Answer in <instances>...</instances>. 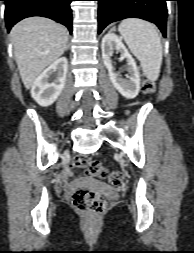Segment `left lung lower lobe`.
<instances>
[{"label":"left lung lower lobe","mask_w":194,"mask_h":253,"mask_svg":"<svg viewBox=\"0 0 194 253\" xmlns=\"http://www.w3.org/2000/svg\"><path fill=\"white\" fill-rule=\"evenodd\" d=\"M98 8V33L111 22L125 18H141L155 23L166 37L167 0H96Z\"/></svg>","instance_id":"obj_1"}]
</instances>
